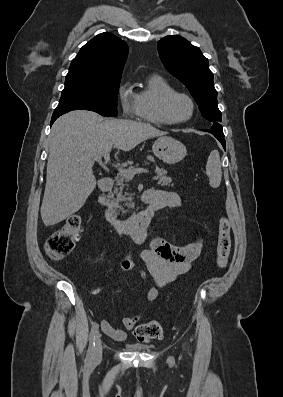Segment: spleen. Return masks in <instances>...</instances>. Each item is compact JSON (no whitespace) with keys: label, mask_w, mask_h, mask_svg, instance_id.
I'll return each instance as SVG.
<instances>
[{"label":"spleen","mask_w":283,"mask_h":397,"mask_svg":"<svg viewBox=\"0 0 283 397\" xmlns=\"http://www.w3.org/2000/svg\"><path fill=\"white\" fill-rule=\"evenodd\" d=\"M206 174L209 177V184L212 188H218L221 183L222 170L218 150H213L207 160Z\"/></svg>","instance_id":"spleen-1"}]
</instances>
